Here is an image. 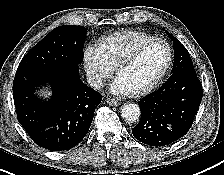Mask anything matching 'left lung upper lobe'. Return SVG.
I'll use <instances>...</instances> for the list:
<instances>
[{
  "instance_id": "left-lung-upper-lobe-1",
  "label": "left lung upper lobe",
  "mask_w": 224,
  "mask_h": 175,
  "mask_svg": "<svg viewBox=\"0 0 224 175\" xmlns=\"http://www.w3.org/2000/svg\"><path fill=\"white\" fill-rule=\"evenodd\" d=\"M166 33L173 41L174 45V64L172 72L183 67H193V63L187 49L169 32L166 31Z\"/></svg>"
}]
</instances>
